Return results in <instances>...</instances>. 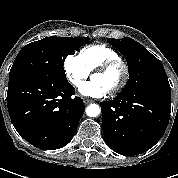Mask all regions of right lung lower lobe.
Masks as SVG:
<instances>
[{
	"label": "right lung lower lobe",
	"instance_id": "obj_1",
	"mask_svg": "<svg viewBox=\"0 0 178 178\" xmlns=\"http://www.w3.org/2000/svg\"><path fill=\"white\" fill-rule=\"evenodd\" d=\"M66 78L10 80L7 107L17 132L33 146L55 150L72 139L84 111L83 100Z\"/></svg>",
	"mask_w": 178,
	"mask_h": 178
}]
</instances>
